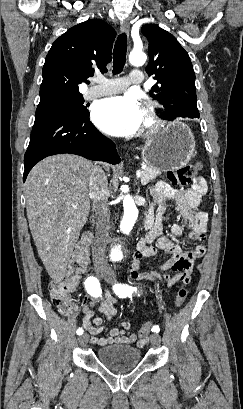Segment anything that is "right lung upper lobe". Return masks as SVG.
<instances>
[{
    "instance_id": "cb5924a9",
    "label": "right lung upper lobe",
    "mask_w": 243,
    "mask_h": 409,
    "mask_svg": "<svg viewBox=\"0 0 243 409\" xmlns=\"http://www.w3.org/2000/svg\"><path fill=\"white\" fill-rule=\"evenodd\" d=\"M116 32L99 19L82 22L57 38L43 66L40 101L81 95L78 85L94 74L106 72Z\"/></svg>"
}]
</instances>
